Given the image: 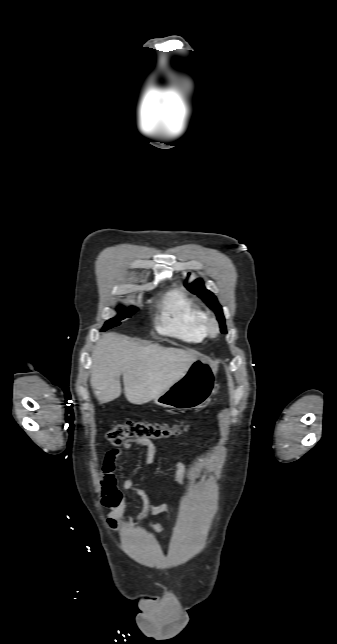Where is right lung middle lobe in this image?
Here are the masks:
<instances>
[{"mask_svg":"<svg viewBox=\"0 0 337 644\" xmlns=\"http://www.w3.org/2000/svg\"><path fill=\"white\" fill-rule=\"evenodd\" d=\"M136 310H137L136 307H130V308L120 307L118 309L119 314L116 317L106 321L102 331L118 326L120 324V320H123L124 318H127V317L129 318L132 314L136 312Z\"/></svg>","mask_w":337,"mask_h":644,"instance_id":"obj_1","label":"right lung middle lobe"}]
</instances>
